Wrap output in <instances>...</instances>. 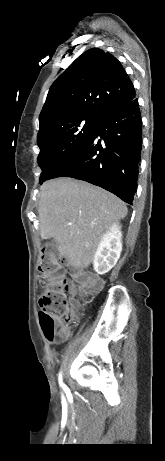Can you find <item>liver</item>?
I'll return each instance as SVG.
<instances>
[{
    "label": "liver",
    "mask_w": 165,
    "mask_h": 461,
    "mask_svg": "<svg viewBox=\"0 0 165 461\" xmlns=\"http://www.w3.org/2000/svg\"><path fill=\"white\" fill-rule=\"evenodd\" d=\"M40 235L53 238L72 266L87 268L103 233L127 215L125 203L112 193L72 178L41 186Z\"/></svg>",
    "instance_id": "obj_1"
}]
</instances>
